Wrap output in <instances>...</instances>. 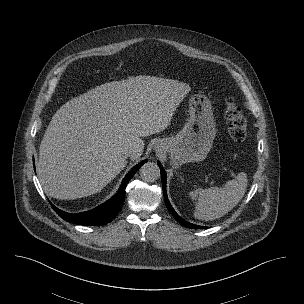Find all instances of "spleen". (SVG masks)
<instances>
[{"instance_id": "spleen-1", "label": "spleen", "mask_w": 304, "mask_h": 304, "mask_svg": "<svg viewBox=\"0 0 304 304\" xmlns=\"http://www.w3.org/2000/svg\"><path fill=\"white\" fill-rule=\"evenodd\" d=\"M246 189L247 176L240 172L235 180L228 181L223 188L211 187L190 192L192 199H197L195 217L207 221L224 216L241 201Z\"/></svg>"}]
</instances>
